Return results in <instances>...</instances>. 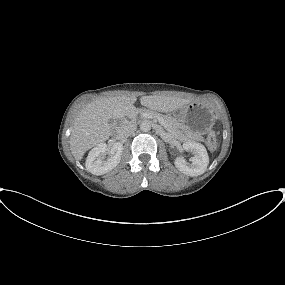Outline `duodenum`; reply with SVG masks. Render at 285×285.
Segmentation results:
<instances>
[{
  "instance_id": "1",
  "label": "duodenum",
  "mask_w": 285,
  "mask_h": 285,
  "mask_svg": "<svg viewBox=\"0 0 285 285\" xmlns=\"http://www.w3.org/2000/svg\"><path fill=\"white\" fill-rule=\"evenodd\" d=\"M125 122H126L125 116H123V115L118 116L117 121H116V127H115L117 135L121 134V132L124 128Z\"/></svg>"
}]
</instances>
